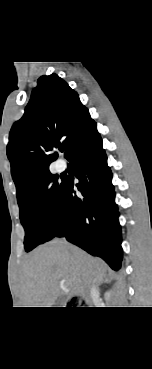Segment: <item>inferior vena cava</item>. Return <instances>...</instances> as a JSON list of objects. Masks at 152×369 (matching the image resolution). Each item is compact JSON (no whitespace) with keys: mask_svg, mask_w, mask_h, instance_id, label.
<instances>
[{"mask_svg":"<svg viewBox=\"0 0 152 369\" xmlns=\"http://www.w3.org/2000/svg\"><path fill=\"white\" fill-rule=\"evenodd\" d=\"M98 292V289H97V286L95 284H92L90 287H89V290L87 291V296L88 298H91L92 294L93 293H96Z\"/></svg>","mask_w":152,"mask_h":369,"instance_id":"inferior-vena-cava-1","label":"inferior vena cava"}]
</instances>
